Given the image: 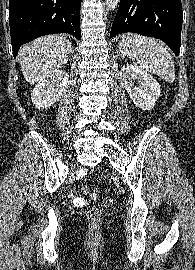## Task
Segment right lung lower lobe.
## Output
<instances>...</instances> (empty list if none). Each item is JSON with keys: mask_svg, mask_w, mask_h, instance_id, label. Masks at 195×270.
Instances as JSON below:
<instances>
[{"mask_svg": "<svg viewBox=\"0 0 195 270\" xmlns=\"http://www.w3.org/2000/svg\"><path fill=\"white\" fill-rule=\"evenodd\" d=\"M81 0H10L9 25L14 57L22 44L39 36L80 31Z\"/></svg>", "mask_w": 195, "mask_h": 270, "instance_id": "98d812e1", "label": "right lung lower lobe"}]
</instances>
